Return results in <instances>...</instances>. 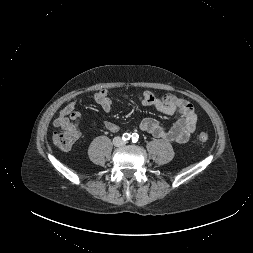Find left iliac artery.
Returning <instances> with one entry per match:
<instances>
[{
    "label": "left iliac artery",
    "mask_w": 253,
    "mask_h": 253,
    "mask_svg": "<svg viewBox=\"0 0 253 253\" xmlns=\"http://www.w3.org/2000/svg\"><path fill=\"white\" fill-rule=\"evenodd\" d=\"M139 135L137 133L132 134V142L136 143L138 141Z\"/></svg>",
    "instance_id": "1"
}]
</instances>
